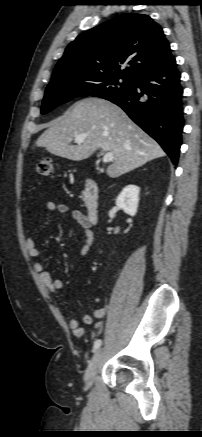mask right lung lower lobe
<instances>
[{
	"label": "right lung lower lobe",
	"mask_w": 202,
	"mask_h": 437,
	"mask_svg": "<svg viewBox=\"0 0 202 437\" xmlns=\"http://www.w3.org/2000/svg\"><path fill=\"white\" fill-rule=\"evenodd\" d=\"M181 74L172 56L136 75L131 88L107 100L121 107L177 164L184 127Z\"/></svg>",
	"instance_id": "obj_1"
}]
</instances>
